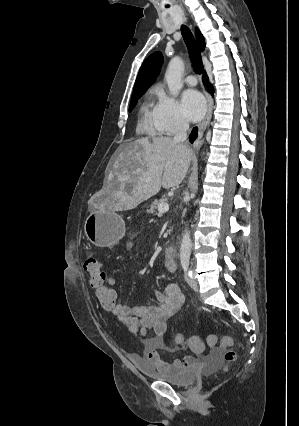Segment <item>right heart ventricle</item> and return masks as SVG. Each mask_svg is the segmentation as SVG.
I'll use <instances>...</instances> for the list:
<instances>
[{"mask_svg": "<svg viewBox=\"0 0 299 426\" xmlns=\"http://www.w3.org/2000/svg\"><path fill=\"white\" fill-rule=\"evenodd\" d=\"M155 108L149 101L143 103L140 108V120L138 129L142 133L157 135L160 130L155 121Z\"/></svg>", "mask_w": 299, "mask_h": 426, "instance_id": "e07e8e85", "label": "right heart ventricle"}]
</instances>
